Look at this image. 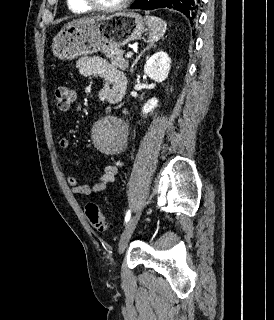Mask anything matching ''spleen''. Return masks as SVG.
Returning <instances> with one entry per match:
<instances>
[{"instance_id":"obj_1","label":"spleen","mask_w":274,"mask_h":320,"mask_svg":"<svg viewBox=\"0 0 274 320\" xmlns=\"http://www.w3.org/2000/svg\"><path fill=\"white\" fill-rule=\"evenodd\" d=\"M145 22L149 28V40L148 42H158L165 34L166 22L156 16H146Z\"/></svg>"}]
</instances>
